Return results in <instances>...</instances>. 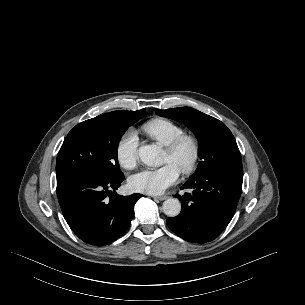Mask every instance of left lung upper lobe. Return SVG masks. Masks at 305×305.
<instances>
[{"label":"left lung upper lobe","mask_w":305,"mask_h":305,"mask_svg":"<svg viewBox=\"0 0 305 305\" xmlns=\"http://www.w3.org/2000/svg\"><path fill=\"white\" fill-rule=\"evenodd\" d=\"M156 114L184 122L198 137L201 160L190 179L222 164L241 161V154L234 136L218 119L190 107L157 110Z\"/></svg>","instance_id":"obj_1"}]
</instances>
